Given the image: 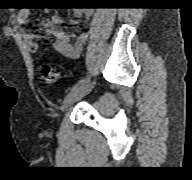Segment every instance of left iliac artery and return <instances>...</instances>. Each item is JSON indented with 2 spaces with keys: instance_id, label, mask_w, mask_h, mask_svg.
Segmentation results:
<instances>
[{
  "instance_id": "left-iliac-artery-1",
  "label": "left iliac artery",
  "mask_w": 192,
  "mask_h": 180,
  "mask_svg": "<svg viewBox=\"0 0 192 180\" xmlns=\"http://www.w3.org/2000/svg\"><path fill=\"white\" fill-rule=\"evenodd\" d=\"M88 80H89V77H84L83 79H81L77 84H75V85L71 88V91H72V90H75V89H77L79 86L85 84Z\"/></svg>"
}]
</instances>
